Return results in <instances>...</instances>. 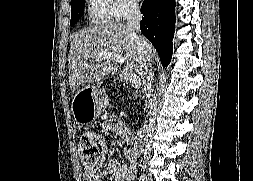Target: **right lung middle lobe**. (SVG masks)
Here are the masks:
<instances>
[{
  "instance_id": "dd1d6c3e",
  "label": "right lung middle lobe",
  "mask_w": 253,
  "mask_h": 181,
  "mask_svg": "<svg viewBox=\"0 0 253 181\" xmlns=\"http://www.w3.org/2000/svg\"><path fill=\"white\" fill-rule=\"evenodd\" d=\"M84 14V0H71V21L70 25H75Z\"/></svg>"
}]
</instances>
